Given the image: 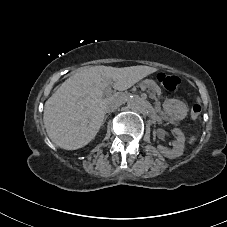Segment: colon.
<instances>
[{"label":"colon","mask_w":227,"mask_h":227,"mask_svg":"<svg viewBox=\"0 0 227 227\" xmlns=\"http://www.w3.org/2000/svg\"><path fill=\"white\" fill-rule=\"evenodd\" d=\"M157 80L160 83V85L168 92H175L181 83L180 77L166 73L164 71H161L157 74ZM201 114H202L201 105L199 103L193 104L190 108L191 119L197 120L200 118Z\"/></svg>","instance_id":"obj_1"}]
</instances>
